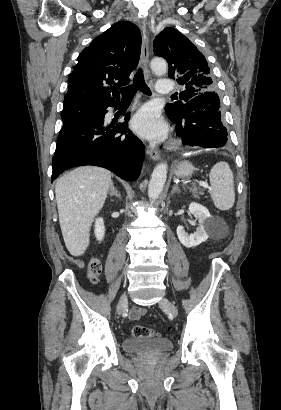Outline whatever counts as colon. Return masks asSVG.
Returning a JSON list of instances; mask_svg holds the SVG:
<instances>
[{"label":"colon","mask_w":281,"mask_h":410,"mask_svg":"<svg viewBox=\"0 0 281 410\" xmlns=\"http://www.w3.org/2000/svg\"><path fill=\"white\" fill-rule=\"evenodd\" d=\"M101 273V262L99 258L94 257L89 262L88 277L92 283L98 282V277ZM130 334L133 338H156L159 333L151 328L136 325L130 329Z\"/></svg>","instance_id":"obj_1"}]
</instances>
